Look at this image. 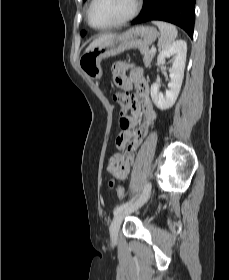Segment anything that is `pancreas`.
<instances>
[{"label": "pancreas", "instance_id": "cf45deb5", "mask_svg": "<svg viewBox=\"0 0 229 280\" xmlns=\"http://www.w3.org/2000/svg\"><path fill=\"white\" fill-rule=\"evenodd\" d=\"M141 54L143 55V62L145 66H149L153 57L155 56V52H151L150 50L140 49Z\"/></svg>", "mask_w": 229, "mask_h": 280}]
</instances>
